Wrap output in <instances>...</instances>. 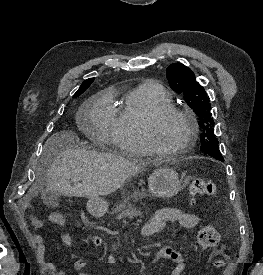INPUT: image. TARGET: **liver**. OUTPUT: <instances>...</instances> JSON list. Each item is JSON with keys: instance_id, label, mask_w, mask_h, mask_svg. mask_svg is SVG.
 Masks as SVG:
<instances>
[{"instance_id": "6515ba94", "label": "liver", "mask_w": 263, "mask_h": 275, "mask_svg": "<svg viewBox=\"0 0 263 275\" xmlns=\"http://www.w3.org/2000/svg\"><path fill=\"white\" fill-rule=\"evenodd\" d=\"M78 142L74 132L62 131L46 143V150H54V158L46 172V191L67 197L98 199L121 188L146 165L144 161L131 162L114 154L78 148L75 146ZM29 197L30 193L26 198Z\"/></svg>"}]
</instances>
